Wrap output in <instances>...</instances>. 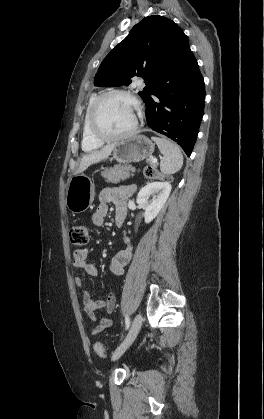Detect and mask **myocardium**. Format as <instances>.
Returning <instances> with one entry per match:
<instances>
[{
	"label": "myocardium",
	"mask_w": 264,
	"mask_h": 419,
	"mask_svg": "<svg viewBox=\"0 0 264 419\" xmlns=\"http://www.w3.org/2000/svg\"><path fill=\"white\" fill-rule=\"evenodd\" d=\"M115 95L125 96L134 102L137 109V118H136L134 126L130 130L121 134L112 135V134H107L100 129L98 125V112L102 103L108 97L115 96ZM141 118H142V106H141L140 101L137 99V97L127 90L112 89L98 95L95 101L93 102L90 109V113H89L88 126H89V131L91 135L100 142L120 141V140H124L133 136L138 131Z\"/></svg>",
	"instance_id": "obj_1"
}]
</instances>
